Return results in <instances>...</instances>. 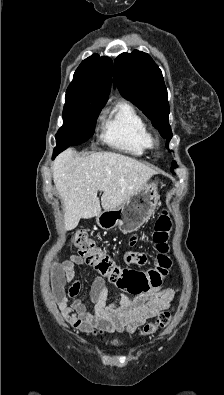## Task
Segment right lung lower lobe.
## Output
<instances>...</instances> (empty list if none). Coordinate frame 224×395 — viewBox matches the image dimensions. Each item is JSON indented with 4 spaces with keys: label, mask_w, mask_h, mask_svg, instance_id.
<instances>
[{
    "label": "right lung lower lobe",
    "mask_w": 224,
    "mask_h": 395,
    "mask_svg": "<svg viewBox=\"0 0 224 395\" xmlns=\"http://www.w3.org/2000/svg\"><path fill=\"white\" fill-rule=\"evenodd\" d=\"M66 148L65 147H56L55 149H54V154H53V159L60 153V152H62L63 150H65Z\"/></svg>",
    "instance_id": "1"
}]
</instances>
